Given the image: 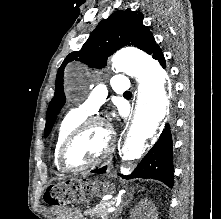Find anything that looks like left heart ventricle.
Masks as SVG:
<instances>
[{
  "label": "left heart ventricle",
  "instance_id": "1",
  "mask_svg": "<svg viewBox=\"0 0 221 219\" xmlns=\"http://www.w3.org/2000/svg\"><path fill=\"white\" fill-rule=\"evenodd\" d=\"M105 130L97 125L84 130L67 152V161L72 166H81L96 159L106 146Z\"/></svg>",
  "mask_w": 221,
  "mask_h": 219
}]
</instances>
